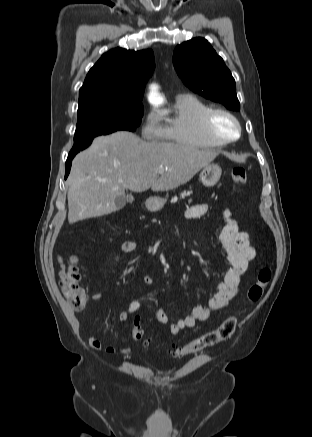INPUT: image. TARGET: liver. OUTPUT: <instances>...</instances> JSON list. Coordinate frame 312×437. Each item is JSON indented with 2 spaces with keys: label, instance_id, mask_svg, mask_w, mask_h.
I'll return each instance as SVG.
<instances>
[{
  "label": "liver",
  "instance_id": "obj_1",
  "mask_svg": "<svg viewBox=\"0 0 312 437\" xmlns=\"http://www.w3.org/2000/svg\"><path fill=\"white\" fill-rule=\"evenodd\" d=\"M218 154L190 145L146 142L125 131L99 136L72 161L68 221L73 224L115 211L116 199L125 196L126 188L133 192L177 188Z\"/></svg>",
  "mask_w": 312,
  "mask_h": 437
}]
</instances>
